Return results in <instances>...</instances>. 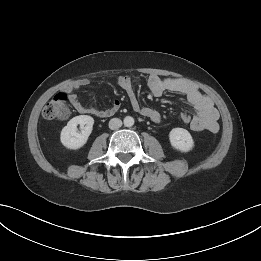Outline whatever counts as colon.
Here are the masks:
<instances>
[{
    "label": "colon",
    "mask_w": 261,
    "mask_h": 261,
    "mask_svg": "<svg viewBox=\"0 0 261 261\" xmlns=\"http://www.w3.org/2000/svg\"><path fill=\"white\" fill-rule=\"evenodd\" d=\"M70 115L71 111L67 104V95L65 93L56 94L43 109V117L49 120H66ZM181 118L185 123L191 122V116L187 113H183Z\"/></svg>",
    "instance_id": "colon-1"
}]
</instances>
